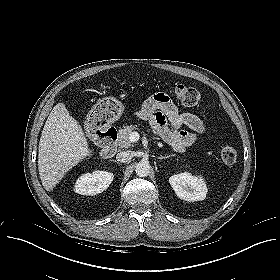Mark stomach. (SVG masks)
Wrapping results in <instances>:
<instances>
[{
  "label": "stomach",
  "mask_w": 280,
  "mask_h": 280,
  "mask_svg": "<svg viewBox=\"0 0 280 280\" xmlns=\"http://www.w3.org/2000/svg\"><path fill=\"white\" fill-rule=\"evenodd\" d=\"M107 124L117 121L123 114L124 105L113 97H105L98 101L93 109Z\"/></svg>",
  "instance_id": "0dacf381"
}]
</instances>
